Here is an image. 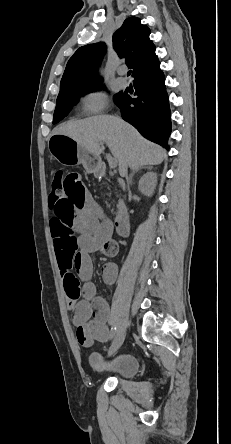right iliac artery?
Wrapping results in <instances>:
<instances>
[{
    "mask_svg": "<svg viewBox=\"0 0 231 444\" xmlns=\"http://www.w3.org/2000/svg\"><path fill=\"white\" fill-rule=\"evenodd\" d=\"M116 332H117V327H116V325H114L111 328V338H113L115 336Z\"/></svg>",
    "mask_w": 231,
    "mask_h": 444,
    "instance_id": "1",
    "label": "right iliac artery"
}]
</instances>
